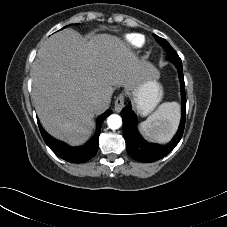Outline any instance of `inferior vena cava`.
<instances>
[{
	"instance_id": "inferior-vena-cava-1",
	"label": "inferior vena cava",
	"mask_w": 227,
	"mask_h": 227,
	"mask_svg": "<svg viewBox=\"0 0 227 227\" xmlns=\"http://www.w3.org/2000/svg\"><path fill=\"white\" fill-rule=\"evenodd\" d=\"M101 102H102V98H101L100 96H95V97H94L93 103H94L95 105H99V104H101Z\"/></svg>"
}]
</instances>
